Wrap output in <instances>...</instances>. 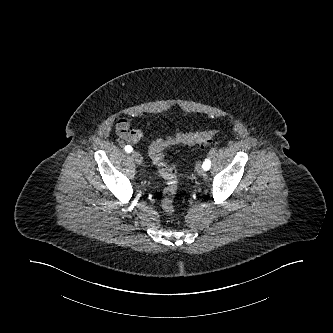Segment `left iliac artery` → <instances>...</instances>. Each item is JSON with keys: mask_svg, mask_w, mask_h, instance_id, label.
Segmentation results:
<instances>
[{"mask_svg": "<svg viewBox=\"0 0 333 333\" xmlns=\"http://www.w3.org/2000/svg\"><path fill=\"white\" fill-rule=\"evenodd\" d=\"M211 166V160L209 158L205 159V161L202 164V167L205 171L209 170Z\"/></svg>", "mask_w": 333, "mask_h": 333, "instance_id": "44dca946", "label": "left iliac artery"}]
</instances>
